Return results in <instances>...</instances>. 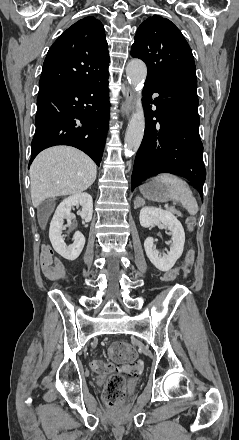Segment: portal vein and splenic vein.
Here are the masks:
<instances>
[{
	"mask_svg": "<svg viewBox=\"0 0 239 440\" xmlns=\"http://www.w3.org/2000/svg\"><path fill=\"white\" fill-rule=\"evenodd\" d=\"M164 208H165V209H170V206H168V204H165V205H164Z\"/></svg>",
	"mask_w": 239,
	"mask_h": 440,
	"instance_id": "obj_1",
	"label": "portal vein and splenic vein"
}]
</instances>
